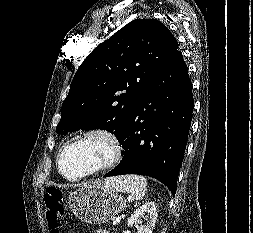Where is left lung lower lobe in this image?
Listing matches in <instances>:
<instances>
[{
	"label": "left lung lower lobe",
	"instance_id": "0a47b994",
	"mask_svg": "<svg viewBox=\"0 0 253 233\" xmlns=\"http://www.w3.org/2000/svg\"><path fill=\"white\" fill-rule=\"evenodd\" d=\"M193 112L192 83L177 49L163 77L127 120L120 139V163L104 177L139 174L153 177L176 193Z\"/></svg>",
	"mask_w": 253,
	"mask_h": 233
}]
</instances>
